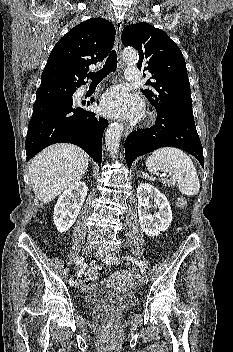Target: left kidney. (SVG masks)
<instances>
[{"label":"left kidney","instance_id":"left-kidney-1","mask_svg":"<svg viewBox=\"0 0 233 352\" xmlns=\"http://www.w3.org/2000/svg\"><path fill=\"white\" fill-rule=\"evenodd\" d=\"M154 199V207L159 211L151 214L149 199ZM138 216L140 226L148 236L155 237L168 229L172 221V210L166 196L156 187L141 183L137 189Z\"/></svg>","mask_w":233,"mask_h":352}]
</instances>
